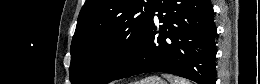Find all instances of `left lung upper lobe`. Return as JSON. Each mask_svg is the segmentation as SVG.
Returning a JSON list of instances; mask_svg holds the SVG:
<instances>
[{"label": "left lung upper lobe", "instance_id": "obj_1", "mask_svg": "<svg viewBox=\"0 0 260 84\" xmlns=\"http://www.w3.org/2000/svg\"><path fill=\"white\" fill-rule=\"evenodd\" d=\"M155 1L86 0L70 49L71 83L106 84L118 75L135 56Z\"/></svg>", "mask_w": 260, "mask_h": 84}]
</instances>
